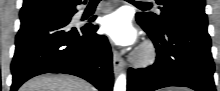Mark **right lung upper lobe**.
<instances>
[{"label":"right lung upper lobe","mask_w":220,"mask_h":91,"mask_svg":"<svg viewBox=\"0 0 220 91\" xmlns=\"http://www.w3.org/2000/svg\"><path fill=\"white\" fill-rule=\"evenodd\" d=\"M81 0H24L20 18L42 13L66 10Z\"/></svg>","instance_id":"right-lung-upper-lobe-1"}]
</instances>
